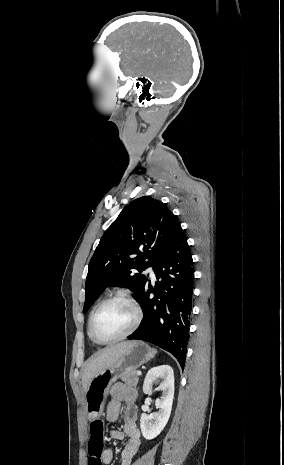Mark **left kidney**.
Instances as JSON below:
<instances>
[{
	"instance_id": "left-kidney-1",
	"label": "left kidney",
	"mask_w": 284,
	"mask_h": 465,
	"mask_svg": "<svg viewBox=\"0 0 284 465\" xmlns=\"http://www.w3.org/2000/svg\"><path fill=\"white\" fill-rule=\"evenodd\" d=\"M162 379V385L158 387V391H162V397L156 399L155 405L158 407V413H142L140 419L141 433L144 439H155L166 427L172 411V403L174 399V373L169 365H161V367H153L148 371L144 385L143 393L151 395V385L158 383Z\"/></svg>"
}]
</instances>
